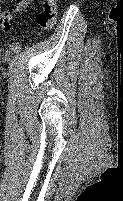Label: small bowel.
<instances>
[{
  "mask_svg": "<svg viewBox=\"0 0 123 201\" xmlns=\"http://www.w3.org/2000/svg\"><path fill=\"white\" fill-rule=\"evenodd\" d=\"M32 2V0H14L13 6L8 10L0 11V27L10 30L12 20L19 16Z\"/></svg>",
  "mask_w": 123,
  "mask_h": 201,
  "instance_id": "c3829d8e",
  "label": "small bowel"
}]
</instances>
